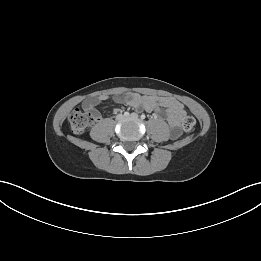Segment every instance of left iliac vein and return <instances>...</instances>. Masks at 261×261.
Wrapping results in <instances>:
<instances>
[{"mask_svg": "<svg viewBox=\"0 0 261 261\" xmlns=\"http://www.w3.org/2000/svg\"><path fill=\"white\" fill-rule=\"evenodd\" d=\"M127 117H130V118H133V119H138V114L137 113H132L131 115L127 116Z\"/></svg>", "mask_w": 261, "mask_h": 261, "instance_id": "left-iliac-vein-1", "label": "left iliac vein"}]
</instances>
